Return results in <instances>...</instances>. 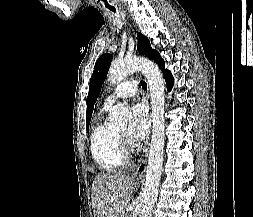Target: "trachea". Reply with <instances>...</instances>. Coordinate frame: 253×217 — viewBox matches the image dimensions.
<instances>
[{
  "label": "trachea",
  "mask_w": 253,
  "mask_h": 217,
  "mask_svg": "<svg viewBox=\"0 0 253 217\" xmlns=\"http://www.w3.org/2000/svg\"><path fill=\"white\" fill-rule=\"evenodd\" d=\"M110 11H112V12H114V13L116 12V10L113 9V8H110ZM141 86H142L143 89H147V84H146L145 81H142V80H141Z\"/></svg>",
  "instance_id": "trachea-1"
}]
</instances>
